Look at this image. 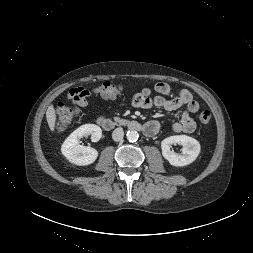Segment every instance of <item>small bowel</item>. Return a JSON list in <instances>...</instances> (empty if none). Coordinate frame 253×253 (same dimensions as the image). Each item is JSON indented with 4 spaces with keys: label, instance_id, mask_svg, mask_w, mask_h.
Returning <instances> with one entry per match:
<instances>
[{
    "label": "small bowel",
    "instance_id": "small-bowel-1",
    "mask_svg": "<svg viewBox=\"0 0 253 253\" xmlns=\"http://www.w3.org/2000/svg\"><path fill=\"white\" fill-rule=\"evenodd\" d=\"M153 91L157 93L154 97H152V90L149 88L136 91L132 96L133 106L142 109L158 108L166 111H175L185 106L180 120L172 124V129L176 133H193L196 124L191 115L199 110V104L193 99L191 92L187 89H181L175 97L168 98L172 89L165 82L157 83ZM66 97L72 101L74 106L82 108L87 106L90 92L83 87L73 88ZM158 130L159 123L155 120L148 121L144 126V132L148 136L155 135Z\"/></svg>",
    "mask_w": 253,
    "mask_h": 253
}]
</instances>
